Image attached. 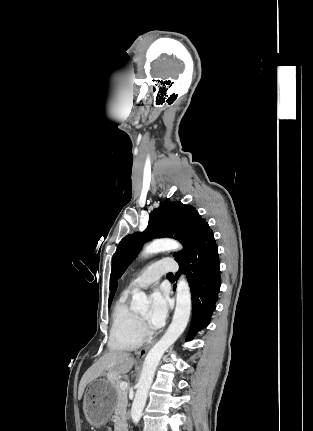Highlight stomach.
I'll list each match as a JSON object with an SVG mask.
<instances>
[{
    "label": "stomach",
    "instance_id": "0dacf381",
    "mask_svg": "<svg viewBox=\"0 0 313 431\" xmlns=\"http://www.w3.org/2000/svg\"><path fill=\"white\" fill-rule=\"evenodd\" d=\"M115 400L113 379H95L88 383L83 400L88 422L94 427L106 424L115 408Z\"/></svg>",
    "mask_w": 313,
    "mask_h": 431
}]
</instances>
